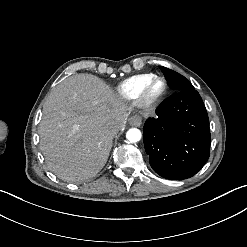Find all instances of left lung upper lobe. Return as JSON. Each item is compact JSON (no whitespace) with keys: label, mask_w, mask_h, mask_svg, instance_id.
<instances>
[{"label":"left lung upper lobe","mask_w":247,"mask_h":247,"mask_svg":"<svg viewBox=\"0 0 247 247\" xmlns=\"http://www.w3.org/2000/svg\"><path fill=\"white\" fill-rule=\"evenodd\" d=\"M168 81V85L175 92L183 91V90H193L194 87L184 76L179 73L168 69L166 67H160Z\"/></svg>","instance_id":"5c2ea615"}]
</instances>
